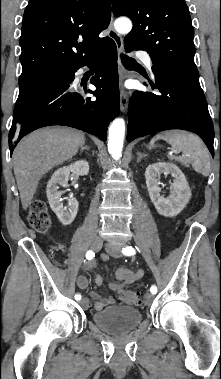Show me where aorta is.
Here are the masks:
<instances>
[{
    "mask_svg": "<svg viewBox=\"0 0 221 379\" xmlns=\"http://www.w3.org/2000/svg\"><path fill=\"white\" fill-rule=\"evenodd\" d=\"M114 25L119 33H128L132 29V23L128 18H118ZM124 135L125 121L122 118H116L108 130V151L114 160H119L122 156Z\"/></svg>",
    "mask_w": 221,
    "mask_h": 379,
    "instance_id": "obj_1",
    "label": "aorta"
}]
</instances>
